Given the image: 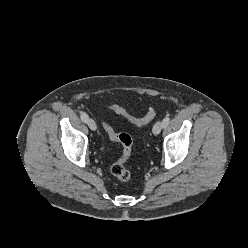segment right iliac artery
<instances>
[{
    "mask_svg": "<svg viewBox=\"0 0 248 248\" xmlns=\"http://www.w3.org/2000/svg\"><path fill=\"white\" fill-rule=\"evenodd\" d=\"M80 117H81V120L83 121V122H87V120H88V115L85 113V112H81V114H80Z\"/></svg>",
    "mask_w": 248,
    "mask_h": 248,
    "instance_id": "1",
    "label": "right iliac artery"
}]
</instances>
